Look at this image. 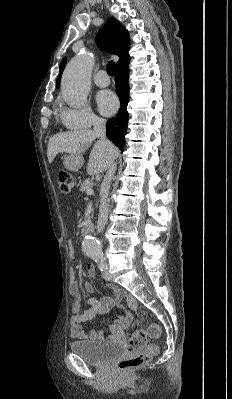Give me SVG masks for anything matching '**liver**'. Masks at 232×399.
Masks as SVG:
<instances>
[{"label": "liver", "instance_id": "obj_1", "mask_svg": "<svg viewBox=\"0 0 232 399\" xmlns=\"http://www.w3.org/2000/svg\"><path fill=\"white\" fill-rule=\"evenodd\" d=\"M93 130H74V132H61L50 138L47 146V156L49 164H52L57 154H83L90 148L92 142L96 140ZM119 150L111 144L106 146L102 142L94 144L87 166L88 176H96L105 172L110 164V158L114 154L118 156Z\"/></svg>", "mask_w": 232, "mask_h": 399}]
</instances>
